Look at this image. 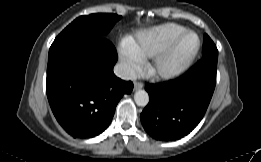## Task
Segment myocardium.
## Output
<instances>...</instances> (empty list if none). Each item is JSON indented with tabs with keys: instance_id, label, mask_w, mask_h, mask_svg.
I'll use <instances>...</instances> for the list:
<instances>
[{
	"instance_id": "1",
	"label": "myocardium",
	"mask_w": 261,
	"mask_h": 162,
	"mask_svg": "<svg viewBox=\"0 0 261 162\" xmlns=\"http://www.w3.org/2000/svg\"><path fill=\"white\" fill-rule=\"evenodd\" d=\"M188 35H194L196 37V43L191 51L179 62L173 65H168V61L172 58L176 52L179 44ZM200 38L198 34L191 30H186L177 37H175L163 50L153 56L152 61L148 65V72L151 76L162 79L172 80L187 71L195 59L200 49Z\"/></svg>"
}]
</instances>
